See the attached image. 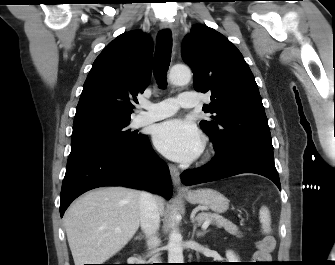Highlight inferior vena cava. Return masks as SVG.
<instances>
[{
  "label": "inferior vena cava",
  "instance_id": "1",
  "mask_svg": "<svg viewBox=\"0 0 335 265\" xmlns=\"http://www.w3.org/2000/svg\"><path fill=\"white\" fill-rule=\"evenodd\" d=\"M140 225L142 230L145 232L147 240V245L149 248H155L159 240L156 233L159 229L160 224V214L155 198L147 192H142L140 194ZM157 261V258H154Z\"/></svg>",
  "mask_w": 335,
  "mask_h": 265
}]
</instances>
